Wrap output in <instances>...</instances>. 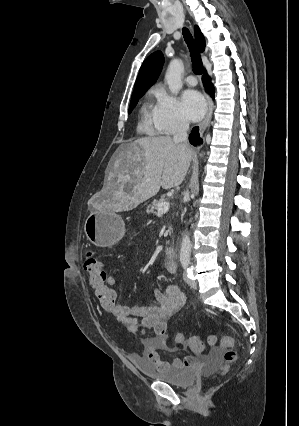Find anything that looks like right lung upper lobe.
<instances>
[{
  "label": "right lung upper lobe",
  "instance_id": "right-lung-upper-lobe-1",
  "mask_svg": "<svg viewBox=\"0 0 299 426\" xmlns=\"http://www.w3.org/2000/svg\"><path fill=\"white\" fill-rule=\"evenodd\" d=\"M195 38L200 50L204 51L205 38L197 26H195ZM163 63L164 57L160 51H156L148 56L140 68L133 93L146 91L152 86L160 75Z\"/></svg>",
  "mask_w": 299,
  "mask_h": 426
}]
</instances>
